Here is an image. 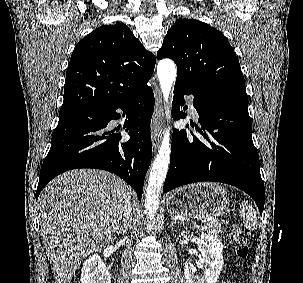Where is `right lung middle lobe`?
Instances as JSON below:
<instances>
[{
	"label": "right lung middle lobe",
	"instance_id": "dd1d6c3e",
	"mask_svg": "<svg viewBox=\"0 0 303 283\" xmlns=\"http://www.w3.org/2000/svg\"><path fill=\"white\" fill-rule=\"evenodd\" d=\"M87 113H85V114H81V115H77V116H82V115H86ZM73 117H75V116H73ZM67 118H71V117H67ZM67 118H59V120H62V119H67Z\"/></svg>",
	"mask_w": 303,
	"mask_h": 283
}]
</instances>
